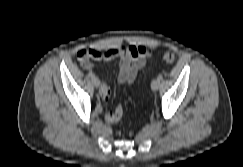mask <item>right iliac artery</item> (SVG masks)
<instances>
[{"label":"right iliac artery","instance_id":"obj_1","mask_svg":"<svg viewBox=\"0 0 243 167\" xmlns=\"http://www.w3.org/2000/svg\"><path fill=\"white\" fill-rule=\"evenodd\" d=\"M88 75H89L91 78H94V77H95L94 73H92V72H89Z\"/></svg>","mask_w":243,"mask_h":167}]
</instances>
